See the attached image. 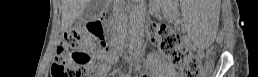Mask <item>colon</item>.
I'll return each instance as SVG.
<instances>
[{"label":"colon","instance_id":"1","mask_svg":"<svg viewBox=\"0 0 258 77\" xmlns=\"http://www.w3.org/2000/svg\"><path fill=\"white\" fill-rule=\"evenodd\" d=\"M149 36L160 45L171 63L181 69L185 77H200L206 72L208 66L192 55L182 45L179 34L167 25L152 24ZM106 38L107 33L101 26L88 35L76 28L67 31L53 59L52 77H89L95 71L93 51L100 46L105 47Z\"/></svg>","mask_w":258,"mask_h":77}]
</instances>
